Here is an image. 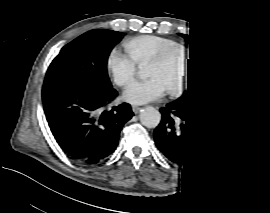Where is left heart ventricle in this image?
<instances>
[{
    "label": "left heart ventricle",
    "mask_w": 270,
    "mask_h": 213,
    "mask_svg": "<svg viewBox=\"0 0 270 213\" xmlns=\"http://www.w3.org/2000/svg\"><path fill=\"white\" fill-rule=\"evenodd\" d=\"M188 69V58L180 53L174 54L166 64L150 66L149 74L158 77L169 87L178 86L185 78Z\"/></svg>",
    "instance_id": "obj_1"
}]
</instances>
